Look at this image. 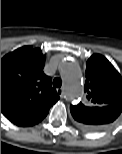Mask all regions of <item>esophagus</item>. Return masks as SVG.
I'll list each match as a JSON object with an SVG mask.
<instances>
[{"label": "esophagus", "mask_w": 122, "mask_h": 154, "mask_svg": "<svg viewBox=\"0 0 122 154\" xmlns=\"http://www.w3.org/2000/svg\"><path fill=\"white\" fill-rule=\"evenodd\" d=\"M57 93L59 94V96L61 98H64L65 97L63 88H58L57 89Z\"/></svg>", "instance_id": "1"}]
</instances>
